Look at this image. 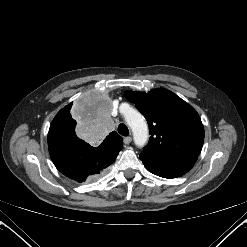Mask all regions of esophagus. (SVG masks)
<instances>
[{
    "mask_svg": "<svg viewBox=\"0 0 247 247\" xmlns=\"http://www.w3.org/2000/svg\"><path fill=\"white\" fill-rule=\"evenodd\" d=\"M131 141H132V138H131L130 136L125 137V138L123 139L124 144H129Z\"/></svg>",
    "mask_w": 247,
    "mask_h": 247,
    "instance_id": "esophagus-1",
    "label": "esophagus"
}]
</instances>
